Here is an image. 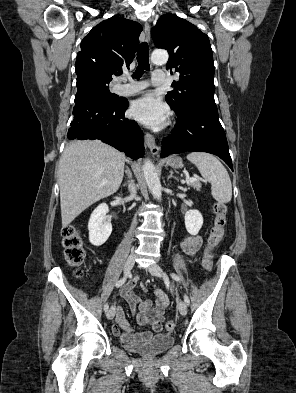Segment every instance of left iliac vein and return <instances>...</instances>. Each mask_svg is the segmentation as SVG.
<instances>
[{
    "mask_svg": "<svg viewBox=\"0 0 296 393\" xmlns=\"http://www.w3.org/2000/svg\"><path fill=\"white\" fill-rule=\"evenodd\" d=\"M148 271H149L152 275H154V276L163 277V278H164L163 270H162L161 267H160L158 264H156V263H153V264L148 268ZM164 279H165V281H167L166 278H164ZM178 308H179V312H180L181 315L185 316V315L187 314V305H186V303L183 302L182 300H179V301H178Z\"/></svg>",
    "mask_w": 296,
    "mask_h": 393,
    "instance_id": "4c4485c4",
    "label": "left iliac vein"
}]
</instances>
